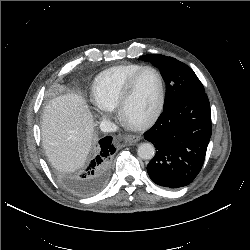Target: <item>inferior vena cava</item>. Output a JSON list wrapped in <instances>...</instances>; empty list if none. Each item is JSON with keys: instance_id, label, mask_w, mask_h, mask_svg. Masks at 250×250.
Segmentation results:
<instances>
[{"instance_id": "1", "label": "inferior vena cava", "mask_w": 250, "mask_h": 250, "mask_svg": "<svg viewBox=\"0 0 250 250\" xmlns=\"http://www.w3.org/2000/svg\"><path fill=\"white\" fill-rule=\"evenodd\" d=\"M100 129L103 132H116L117 125L111 122L110 120L104 119L100 123Z\"/></svg>"}]
</instances>
